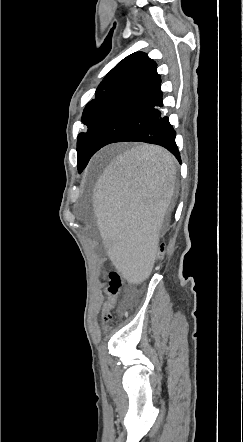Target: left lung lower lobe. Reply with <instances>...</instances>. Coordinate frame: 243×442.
<instances>
[{
    "mask_svg": "<svg viewBox=\"0 0 243 442\" xmlns=\"http://www.w3.org/2000/svg\"><path fill=\"white\" fill-rule=\"evenodd\" d=\"M161 79L156 68L138 86L126 94L103 119L85 154L84 162L102 147L115 142L137 141L163 146L181 163L175 143V131L163 117Z\"/></svg>",
    "mask_w": 243,
    "mask_h": 442,
    "instance_id": "obj_1",
    "label": "left lung lower lobe"
}]
</instances>
